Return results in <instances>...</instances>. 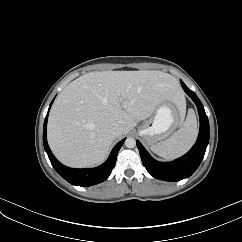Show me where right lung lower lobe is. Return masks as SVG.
Returning a JSON list of instances; mask_svg holds the SVG:
<instances>
[{"label": "right lung lower lobe", "mask_w": 242, "mask_h": 242, "mask_svg": "<svg viewBox=\"0 0 242 242\" xmlns=\"http://www.w3.org/2000/svg\"><path fill=\"white\" fill-rule=\"evenodd\" d=\"M54 101V100H53ZM53 101L50 104L49 110L51 108V105ZM48 110V113H49ZM48 113L44 121V128H43V144L45 151L48 154V157L50 159V162L54 169L57 171L59 175H61L65 180H67L69 183L73 185H78V186H91L95 185L98 183H101L105 181L109 175L112 172V169L115 166L116 163V158L118 155V152L123 145L125 139L121 140L118 142L113 150L110 153V156L108 159L100 166L96 168H91V169H73L66 167L62 165L52 154L48 143H47V137H46V127H47V119H48Z\"/></svg>", "instance_id": "98d812e1"}]
</instances>
